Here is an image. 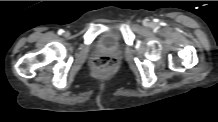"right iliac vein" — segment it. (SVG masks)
I'll use <instances>...</instances> for the list:
<instances>
[{
    "instance_id": "obj_1",
    "label": "right iliac vein",
    "mask_w": 218,
    "mask_h": 122,
    "mask_svg": "<svg viewBox=\"0 0 218 122\" xmlns=\"http://www.w3.org/2000/svg\"><path fill=\"white\" fill-rule=\"evenodd\" d=\"M64 35H65V36H68V35H69V32H68V31L64 32Z\"/></svg>"
}]
</instances>
